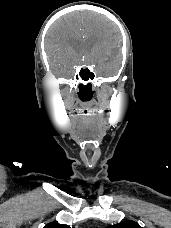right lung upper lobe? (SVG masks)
Instances as JSON below:
<instances>
[{
  "label": "right lung upper lobe",
  "mask_w": 171,
  "mask_h": 228,
  "mask_svg": "<svg viewBox=\"0 0 171 228\" xmlns=\"http://www.w3.org/2000/svg\"><path fill=\"white\" fill-rule=\"evenodd\" d=\"M44 228H70V227L67 225L52 222V223H49L46 226H44Z\"/></svg>",
  "instance_id": "cb5924a9"
}]
</instances>
